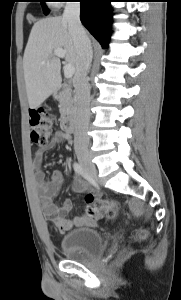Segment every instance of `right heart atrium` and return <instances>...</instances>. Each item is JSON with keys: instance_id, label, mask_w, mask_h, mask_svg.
<instances>
[{"instance_id": "1", "label": "right heart atrium", "mask_w": 181, "mask_h": 300, "mask_svg": "<svg viewBox=\"0 0 181 300\" xmlns=\"http://www.w3.org/2000/svg\"><path fill=\"white\" fill-rule=\"evenodd\" d=\"M56 1H60V0H56ZM59 3H60V2H56V4H55V5H56V6H58V5H59Z\"/></svg>"}]
</instances>
